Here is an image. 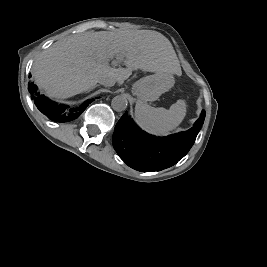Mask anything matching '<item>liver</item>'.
<instances>
[{"instance_id":"liver-1","label":"liver","mask_w":267,"mask_h":267,"mask_svg":"<svg viewBox=\"0 0 267 267\" xmlns=\"http://www.w3.org/2000/svg\"><path fill=\"white\" fill-rule=\"evenodd\" d=\"M123 56L126 68L109 59ZM180 74L171 42L152 30L86 32L56 41L36 58L32 74L51 97L65 99L93 88L102 77L122 85L133 70Z\"/></svg>"}]
</instances>
